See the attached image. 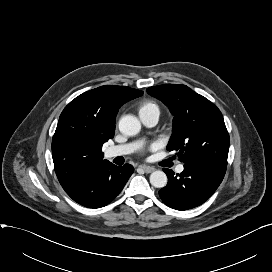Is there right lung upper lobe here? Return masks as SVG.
Segmentation results:
<instances>
[{
	"instance_id": "cb5924a9",
	"label": "right lung upper lobe",
	"mask_w": 272,
	"mask_h": 272,
	"mask_svg": "<svg viewBox=\"0 0 272 272\" xmlns=\"http://www.w3.org/2000/svg\"><path fill=\"white\" fill-rule=\"evenodd\" d=\"M142 94L130 87L105 85L79 95L64 108L52 139L55 172L62 187L107 161L102 146L114 137L119 108Z\"/></svg>"
}]
</instances>
